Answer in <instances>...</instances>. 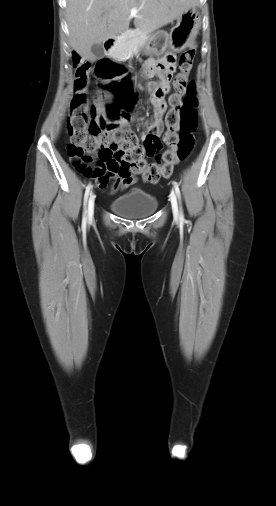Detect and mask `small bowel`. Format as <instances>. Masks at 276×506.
Instances as JSON below:
<instances>
[{
  "instance_id": "obj_1",
  "label": "small bowel",
  "mask_w": 276,
  "mask_h": 506,
  "mask_svg": "<svg viewBox=\"0 0 276 506\" xmlns=\"http://www.w3.org/2000/svg\"><path fill=\"white\" fill-rule=\"evenodd\" d=\"M169 59H172L171 63L169 62ZM162 66L165 67V70H162ZM174 68V59L170 55H166L159 59H149L144 64L143 75L149 79L157 78L156 81L149 84L151 92L157 88L161 89L163 92L161 97L155 98L154 100V115L147 128L146 134L151 133L160 136L163 131V116L167 109L164 96L170 91V78ZM75 90L78 91L76 85ZM120 126L126 127L127 123L122 121ZM146 134H143V138ZM152 155H154V153ZM111 179L114 180L111 192H115L119 189H126L135 184L137 181L135 176L131 175L130 172L122 167L120 159L115 157L111 158L106 163L104 173L95 177L96 185L100 189H105Z\"/></svg>"
}]
</instances>
